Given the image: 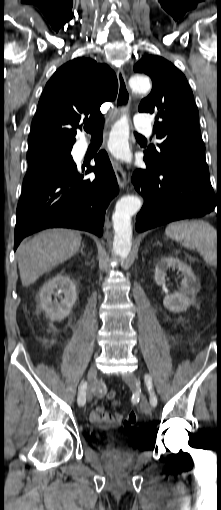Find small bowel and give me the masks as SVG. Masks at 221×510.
I'll use <instances>...</instances> for the list:
<instances>
[{"label": "small bowel", "instance_id": "c3829d8e", "mask_svg": "<svg viewBox=\"0 0 221 510\" xmlns=\"http://www.w3.org/2000/svg\"><path fill=\"white\" fill-rule=\"evenodd\" d=\"M89 420L92 424L100 428L111 429L121 424L123 420V414L120 412H106L102 405H97L90 412Z\"/></svg>", "mask_w": 221, "mask_h": 510}]
</instances>
